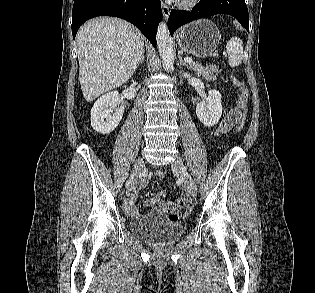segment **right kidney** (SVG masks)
<instances>
[{"label": "right kidney", "instance_id": "right-kidney-1", "mask_svg": "<svg viewBox=\"0 0 315 293\" xmlns=\"http://www.w3.org/2000/svg\"><path fill=\"white\" fill-rule=\"evenodd\" d=\"M119 103L117 91L104 94L94 103L91 109V125L96 132L110 134L115 130L124 114V107H119Z\"/></svg>", "mask_w": 315, "mask_h": 293}]
</instances>
